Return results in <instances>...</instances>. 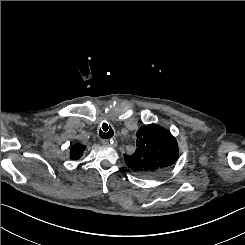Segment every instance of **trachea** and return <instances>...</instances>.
Segmentation results:
<instances>
[{
  "label": "trachea",
  "mask_w": 245,
  "mask_h": 245,
  "mask_svg": "<svg viewBox=\"0 0 245 245\" xmlns=\"http://www.w3.org/2000/svg\"><path fill=\"white\" fill-rule=\"evenodd\" d=\"M114 135L113 129L108 126L107 123H102L99 130V136L103 139H109Z\"/></svg>",
  "instance_id": "1"
}]
</instances>
